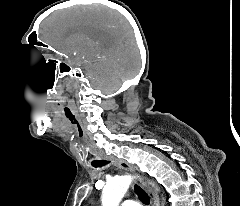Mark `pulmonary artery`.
I'll return each mask as SVG.
<instances>
[{"label":"pulmonary artery","mask_w":240,"mask_h":206,"mask_svg":"<svg viewBox=\"0 0 240 206\" xmlns=\"http://www.w3.org/2000/svg\"><path fill=\"white\" fill-rule=\"evenodd\" d=\"M121 206H141V204L134 200H125L122 202Z\"/></svg>","instance_id":"obj_1"}]
</instances>
